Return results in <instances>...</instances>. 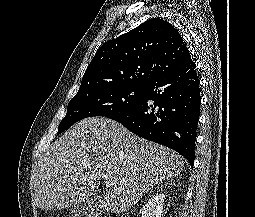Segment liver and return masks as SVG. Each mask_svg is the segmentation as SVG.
I'll list each match as a JSON object with an SVG mask.
<instances>
[{"label":"liver","instance_id":"1","mask_svg":"<svg viewBox=\"0 0 255 217\" xmlns=\"http://www.w3.org/2000/svg\"><path fill=\"white\" fill-rule=\"evenodd\" d=\"M183 167V158L173 150L134 135L116 121L91 117L67 130L40 158L31 196L41 209L61 210L91 197L105 179L113 190L103 195L99 207L121 213Z\"/></svg>","mask_w":255,"mask_h":217}]
</instances>
